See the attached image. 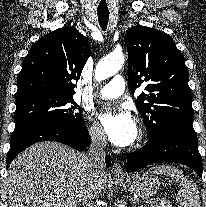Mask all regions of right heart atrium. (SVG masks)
Returning <instances> with one entry per match:
<instances>
[{"label":"right heart atrium","mask_w":206,"mask_h":207,"mask_svg":"<svg viewBox=\"0 0 206 207\" xmlns=\"http://www.w3.org/2000/svg\"><path fill=\"white\" fill-rule=\"evenodd\" d=\"M88 133L95 145L104 146L106 144V138L103 131L91 120H89Z\"/></svg>","instance_id":"d8ad5b80"}]
</instances>
